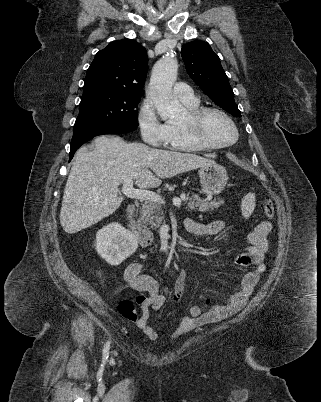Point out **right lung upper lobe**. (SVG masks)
Returning a JSON list of instances; mask_svg holds the SVG:
<instances>
[{
	"instance_id": "cb5924a9",
	"label": "right lung upper lobe",
	"mask_w": 321,
	"mask_h": 402,
	"mask_svg": "<svg viewBox=\"0 0 321 402\" xmlns=\"http://www.w3.org/2000/svg\"><path fill=\"white\" fill-rule=\"evenodd\" d=\"M147 62L146 49L135 40L113 41L96 54L83 88L141 96Z\"/></svg>"
}]
</instances>
